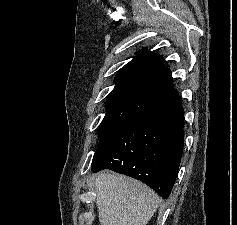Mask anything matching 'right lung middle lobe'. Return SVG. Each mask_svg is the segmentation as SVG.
<instances>
[{"label": "right lung middle lobe", "mask_w": 237, "mask_h": 225, "mask_svg": "<svg viewBox=\"0 0 237 225\" xmlns=\"http://www.w3.org/2000/svg\"><path fill=\"white\" fill-rule=\"evenodd\" d=\"M124 124L120 121H113V120H103L101 123V130L99 133V141L100 143L115 129H117L119 126ZM99 143V144H100Z\"/></svg>", "instance_id": "1"}]
</instances>
